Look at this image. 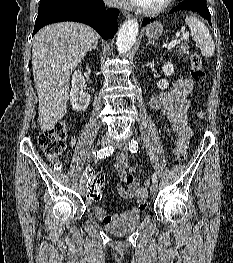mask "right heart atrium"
Masks as SVG:
<instances>
[{"mask_svg": "<svg viewBox=\"0 0 233 263\" xmlns=\"http://www.w3.org/2000/svg\"><path fill=\"white\" fill-rule=\"evenodd\" d=\"M106 3L110 6L118 7L123 4V0H105Z\"/></svg>", "mask_w": 233, "mask_h": 263, "instance_id": "d8ad5b80", "label": "right heart atrium"}]
</instances>
